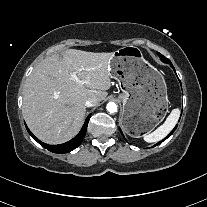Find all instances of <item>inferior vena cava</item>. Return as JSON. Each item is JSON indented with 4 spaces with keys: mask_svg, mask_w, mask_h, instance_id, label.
<instances>
[{
    "mask_svg": "<svg viewBox=\"0 0 207 207\" xmlns=\"http://www.w3.org/2000/svg\"><path fill=\"white\" fill-rule=\"evenodd\" d=\"M95 102V99H88L85 103V106H93Z\"/></svg>",
    "mask_w": 207,
    "mask_h": 207,
    "instance_id": "602c4592",
    "label": "inferior vena cava"
}]
</instances>
